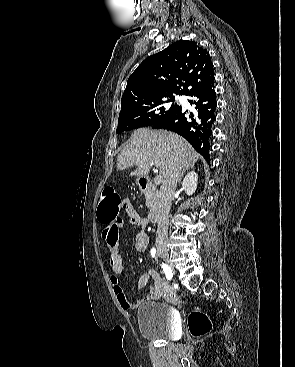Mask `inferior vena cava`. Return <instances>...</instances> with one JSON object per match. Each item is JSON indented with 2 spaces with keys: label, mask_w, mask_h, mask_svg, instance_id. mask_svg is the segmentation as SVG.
Wrapping results in <instances>:
<instances>
[{
  "label": "inferior vena cava",
  "mask_w": 295,
  "mask_h": 367,
  "mask_svg": "<svg viewBox=\"0 0 295 367\" xmlns=\"http://www.w3.org/2000/svg\"><path fill=\"white\" fill-rule=\"evenodd\" d=\"M181 169L178 165L172 167L160 188L156 246L167 244L169 212Z\"/></svg>",
  "instance_id": "602c4592"
}]
</instances>
